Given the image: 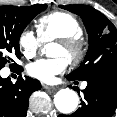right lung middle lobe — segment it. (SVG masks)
<instances>
[{
	"instance_id": "right-lung-middle-lobe-1",
	"label": "right lung middle lobe",
	"mask_w": 117,
	"mask_h": 117,
	"mask_svg": "<svg viewBox=\"0 0 117 117\" xmlns=\"http://www.w3.org/2000/svg\"><path fill=\"white\" fill-rule=\"evenodd\" d=\"M47 5L0 6V70L6 63L14 62L11 57L20 58L19 39L28 23ZM14 65L17 66L15 63ZM13 66V64H10Z\"/></svg>"
}]
</instances>
